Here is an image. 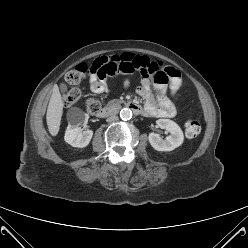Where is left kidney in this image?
I'll list each match as a JSON object with an SVG mask.
<instances>
[{
	"label": "left kidney",
	"mask_w": 248,
	"mask_h": 248,
	"mask_svg": "<svg viewBox=\"0 0 248 248\" xmlns=\"http://www.w3.org/2000/svg\"><path fill=\"white\" fill-rule=\"evenodd\" d=\"M158 127L170 132L166 139H162L157 133H150L148 136L151 146L157 151H172L182 145L184 135L181 128L172 120L159 119L156 121Z\"/></svg>",
	"instance_id": "5707ae66"
}]
</instances>
